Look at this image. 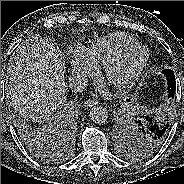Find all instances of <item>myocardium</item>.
Masks as SVG:
<instances>
[{
	"label": "myocardium",
	"mask_w": 184,
	"mask_h": 184,
	"mask_svg": "<svg viewBox=\"0 0 184 184\" xmlns=\"http://www.w3.org/2000/svg\"><path fill=\"white\" fill-rule=\"evenodd\" d=\"M135 51L142 52V58L137 64V66L121 80H114L112 78L113 71L118 66H120L122 62L132 52H135ZM148 60H149L148 49L139 43L132 44L130 46L125 47L123 50H121L119 53H117L115 56H113L110 60H108L104 64L102 76L112 87L118 90H127L139 80V78L141 77V75L143 74L147 66Z\"/></svg>",
	"instance_id": "obj_1"
}]
</instances>
